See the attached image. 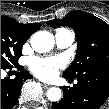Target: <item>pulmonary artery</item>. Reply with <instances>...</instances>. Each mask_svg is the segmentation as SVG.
<instances>
[{"mask_svg": "<svg viewBox=\"0 0 109 109\" xmlns=\"http://www.w3.org/2000/svg\"><path fill=\"white\" fill-rule=\"evenodd\" d=\"M54 37L57 47L61 49L70 47L75 40L73 31L64 28L58 29Z\"/></svg>", "mask_w": 109, "mask_h": 109, "instance_id": "1", "label": "pulmonary artery"}]
</instances>
